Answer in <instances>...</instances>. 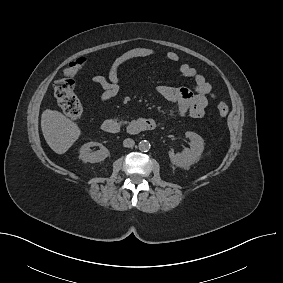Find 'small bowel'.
<instances>
[{"mask_svg": "<svg viewBox=\"0 0 283 283\" xmlns=\"http://www.w3.org/2000/svg\"><path fill=\"white\" fill-rule=\"evenodd\" d=\"M156 55V51L148 47H136L123 52L116 57L108 68L106 75H96L92 77L91 82L101 88L99 99L103 102L116 97L120 92V68L135 59L149 58ZM166 59L177 63L180 57L175 52H167ZM179 71L185 78L194 81V90L186 87H174L169 85H159L156 92L167 101L177 104L178 113L181 116H190L200 118L204 115L208 105V98H214L215 95L211 84L203 75L198 73L188 63H180Z\"/></svg>", "mask_w": 283, "mask_h": 283, "instance_id": "c3829d8e", "label": "small bowel"}]
</instances>
